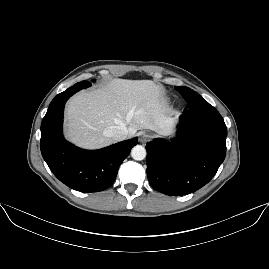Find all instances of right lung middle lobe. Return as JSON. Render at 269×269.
<instances>
[{
	"label": "right lung middle lobe",
	"mask_w": 269,
	"mask_h": 269,
	"mask_svg": "<svg viewBox=\"0 0 269 269\" xmlns=\"http://www.w3.org/2000/svg\"><path fill=\"white\" fill-rule=\"evenodd\" d=\"M94 81V80H93ZM89 82L87 81H82V82H79V83H76L77 85H83L84 88H87L89 87L90 85H87Z\"/></svg>",
	"instance_id": "dd1d6c3e"
}]
</instances>
